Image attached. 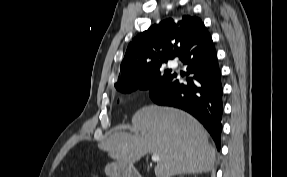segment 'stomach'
Returning <instances> with one entry per match:
<instances>
[{"mask_svg":"<svg viewBox=\"0 0 287 177\" xmlns=\"http://www.w3.org/2000/svg\"><path fill=\"white\" fill-rule=\"evenodd\" d=\"M105 172L108 177H132L136 170L129 165L120 162H112L106 165Z\"/></svg>","mask_w":287,"mask_h":177,"instance_id":"stomach-1","label":"stomach"}]
</instances>
